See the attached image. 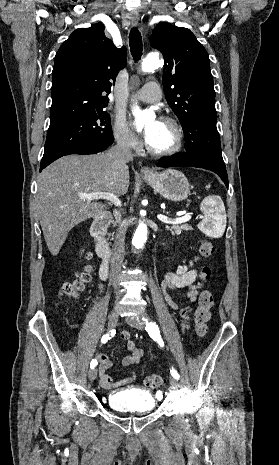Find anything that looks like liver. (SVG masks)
Returning <instances> with one entry per match:
<instances>
[{"instance_id":"liver-1","label":"liver","mask_w":279,"mask_h":465,"mask_svg":"<svg viewBox=\"0 0 279 465\" xmlns=\"http://www.w3.org/2000/svg\"><path fill=\"white\" fill-rule=\"evenodd\" d=\"M128 188V166H114L106 153L67 155L46 167L38 176L36 211L50 253H59L74 226L106 209L102 202L84 200L81 194L121 196Z\"/></svg>"}]
</instances>
